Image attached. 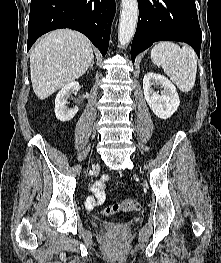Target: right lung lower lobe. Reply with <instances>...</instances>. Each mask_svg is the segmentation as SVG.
Returning <instances> with one entry per match:
<instances>
[{
  "mask_svg": "<svg viewBox=\"0 0 221 263\" xmlns=\"http://www.w3.org/2000/svg\"><path fill=\"white\" fill-rule=\"evenodd\" d=\"M115 9L114 0H31L27 49L51 30L71 28L86 35L105 56Z\"/></svg>",
  "mask_w": 221,
  "mask_h": 263,
  "instance_id": "1",
  "label": "right lung lower lobe"
}]
</instances>
